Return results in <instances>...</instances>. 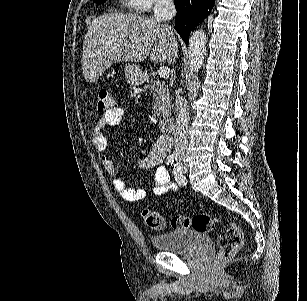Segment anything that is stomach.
Here are the masks:
<instances>
[{"label": "stomach", "mask_w": 307, "mask_h": 301, "mask_svg": "<svg viewBox=\"0 0 307 301\" xmlns=\"http://www.w3.org/2000/svg\"><path fill=\"white\" fill-rule=\"evenodd\" d=\"M125 78L132 86H140L145 80V72L138 64L134 62H126L125 64Z\"/></svg>", "instance_id": "0dacf381"}]
</instances>
